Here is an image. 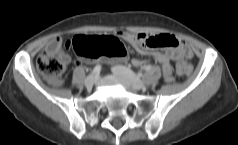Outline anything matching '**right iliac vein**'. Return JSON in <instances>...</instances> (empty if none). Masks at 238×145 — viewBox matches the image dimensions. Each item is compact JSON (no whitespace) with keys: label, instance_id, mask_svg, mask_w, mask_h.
Listing matches in <instances>:
<instances>
[{"label":"right iliac vein","instance_id":"1","mask_svg":"<svg viewBox=\"0 0 238 145\" xmlns=\"http://www.w3.org/2000/svg\"><path fill=\"white\" fill-rule=\"evenodd\" d=\"M96 82V76L95 75H89L86 79H85V86L88 88H91L94 86Z\"/></svg>","mask_w":238,"mask_h":145}]
</instances>
